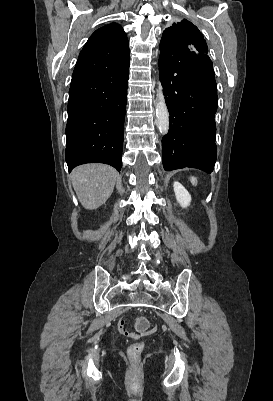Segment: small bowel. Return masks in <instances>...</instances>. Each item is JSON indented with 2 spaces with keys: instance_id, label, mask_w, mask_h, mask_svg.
I'll use <instances>...</instances> for the list:
<instances>
[{
  "instance_id": "obj_1",
  "label": "small bowel",
  "mask_w": 273,
  "mask_h": 401,
  "mask_svg": "<svg viewBox=\"0 0 273 401\" xmlns=\"http://www.w3.org/2000/svg\"><path fill=\"white\" fill-rule=\"evenodd\" d=\"M116 327L119 329L118 331H119V333L121 334V337L122 338H127L128 337V333L130 332V329L129 328H126L127 327V324L125 323V319L124 318H119V319H117L116 320ZM156 326H158V325H156ZM158 332V329L157 328H155V327H150L149 328V333L150 334H155V333H157ZM149 333L147 332V331H144L143 333H142V336L144 337V338H147L148 336H149ZM132 335V334H131Z\"/></svg>"
}]
</instances>
